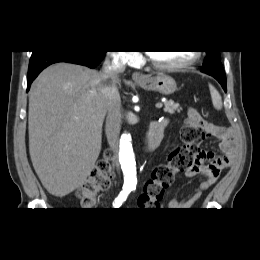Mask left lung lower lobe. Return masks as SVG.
Segmentation results:
<instances>
[{
    "mask_svg": "<svg viewBox=\"0 0 260 260\" xmlns=\"http://www.w3.org/2000/svg\"><path fill=\"white\" fill-rule=\"evenodd\" d=\"M201 72L206 73L214 77L223 87L224 91L227 92L226 88V76L222 66L212 65V66H203Z\"/></svg>",
    "mask_w": 260,
    "mask_h": 260,
    "instance_id": "obj_1",
    "label": "left lung lower lobe"
}]
</instances>
